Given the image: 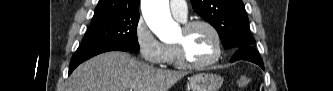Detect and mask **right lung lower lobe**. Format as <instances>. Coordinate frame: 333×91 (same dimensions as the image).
<instances>
[{"mask_svg":"<svg viewBox=\"0 0 333 91\" xmlns=\"http://www.w3.org/2000/svg\"><path fill=\"white\" fill-rule=\"evenodd\" d=\"M107 51H130L125 47L115 46V45H104L97 47H79L75 52L74 56L70 62L69 75L71 72L85 60Z\"/></svg>","mask_w":333,"mask_h":91,"instance_id":"1","label":"right lung lower lobe"}]
</instances>
